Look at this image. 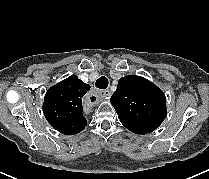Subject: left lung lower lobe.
<instances>
[{
    "label": "left lung lower lobe",
    "mask_w": 209,
    "mask_h": 179,
    "mask_svg": "<svg viewBox=\"0 0 209 179\" xmlns=\"http://www.w3.org/2000/svg\"><path fill=\"white\" fill-rule=\"evenodd\" d=\"M129 130L132 131L133 133H136V134H142V133H140V132H138V131H136L134 129H129Z\"/></svg>",
    "instance_id": "1"
}]
</instances>
